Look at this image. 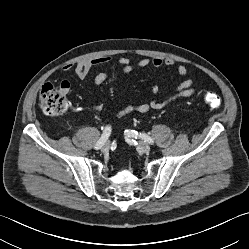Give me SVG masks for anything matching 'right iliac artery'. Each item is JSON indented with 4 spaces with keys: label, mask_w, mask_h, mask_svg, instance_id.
Segmentation results:
<instances>
[{
    "label": "right iliac artery",
    "mask_w": 249,
    "mask_h": 249,
    "mask_svg": "<svg viewBox=\"0 0 249 249\" xmlns=\"http://www.w3.org/2000/svg\"><path fill=\"white\" fill-rule=\"evenodd\" d=\"M111 134V127L110 126H106L104 129L103 134L101 135L100 139L97 141V143L95 144V149H100L103 144L107 141V139L109 138Z\"/></svg>",
    "instance_id": "82829eb1"
}]
</instances>
